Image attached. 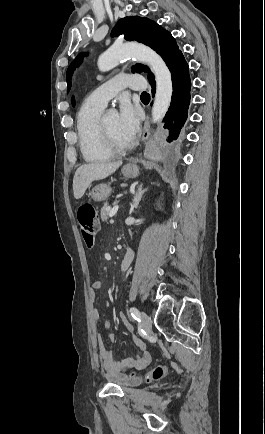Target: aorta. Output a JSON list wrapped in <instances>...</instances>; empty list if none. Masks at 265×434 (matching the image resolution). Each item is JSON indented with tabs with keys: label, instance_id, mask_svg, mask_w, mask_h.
<instances>
[{
	"label": "aorta",
	"instance_id": "762f6f07",
	"mask_svg": "<svg viewBox=\"0 0 265 434\" xmlns=\"http://www.w3.org/2000/svg\"><path fill=\"white\" fill-rule=\"evenodd\" d=\"M136 58L138 62H144L150 66L155 74L156 94L155 102L152 108V122H162L165 114L170 108L173 86L171 74L161 56H158L154 50L143 46V44H123L120 48L111 46L104 54L98 58L97 66L100 72H109L116 66H119L122 58Z\"/></svg>",
	"mask_w": 265,
	"mask_h": 434
}]
</instances>
